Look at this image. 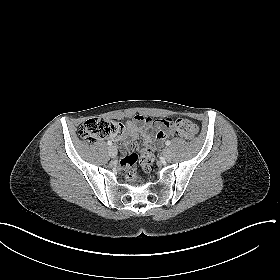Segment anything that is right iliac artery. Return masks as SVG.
Returning a JSON list of instances; mask_svg holds the SVG:
<instances>
[{
  "mask_svg": "<svg viewBox=\"0 0 280 280\" xmlns=\"http://www.w3.org/2000/svg\"><path fill=\"white\" fill-rule=\"evenodd\" d=\"M107 144L111 146V145H112V142H111V141H108Z\"/></svg>",
  "mask_w": 280,
  "mask_h": 280,
  "instance_id": "obj_1",
  "label": "right iliac artery"
}]
</instances>
